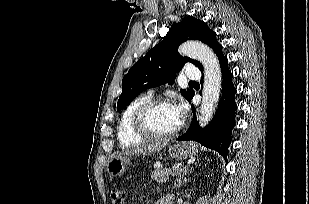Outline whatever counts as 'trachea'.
<instances>
[{
  "mask_svg": "<svg viewBox=\"0 0 309 204\" xmlns=\"http://www.w3.org/2000/svg\"><path fill=\"white\" fill-rule=\"evenodd\" d=\"M190 84H197V82H195V81H191V82H189Z\"/></svg>",
  "mask_w": 309,
  "mask_h": 204,
  "instance_id": "1",
  "label": "trachea"
}]
</instances>
